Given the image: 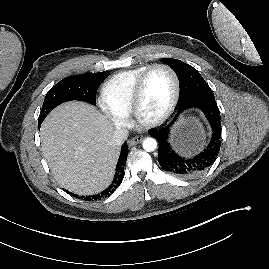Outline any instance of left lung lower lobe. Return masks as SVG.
Segmentation results:
<instances>
[{
    "label": "left lung lower lobe",
    "mask_w": 269,
    "mask_h": 269,
    "mask_svg": "<svg viewBox=\"0 0 269 269\" xmlns=\"http://www.w3.org/2000/svg\"><path fill=\"white\" fill-rule=\"evenodd\" d=\"M193 107L200 109L207 117L212 127V138L201 153L191 157H182L168 142L170 127L182 111ZM150 135L159 142L158 159L163 170L179 178H194L207 170L218 156L221 145L220 111L213 99L192 100L179 105L178 113L169 125L151 132Z\"/></svg>",
    "instance_id": "left-lung-lower-lobe-1"
}]
</instances>
